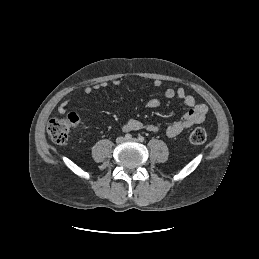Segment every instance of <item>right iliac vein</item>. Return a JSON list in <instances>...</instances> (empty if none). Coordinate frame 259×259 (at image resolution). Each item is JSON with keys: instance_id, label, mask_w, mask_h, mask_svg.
<instances>
[{"instance_id": "1", "label": "right iliac vein", "mask_w": 259, "mask_h": 259, "mask_svg": "<svg viewBox=\"0 0 259 259\" xmlns=\"http://www.w3.org/2000/svg\"><path fill=\"white\" fill-rule=\"evenodd\" d=\"M124 140H125V139H124L123 137H118V138L116 139V142L120 144V143H123Z\"/></svg>"}]
</instances>
